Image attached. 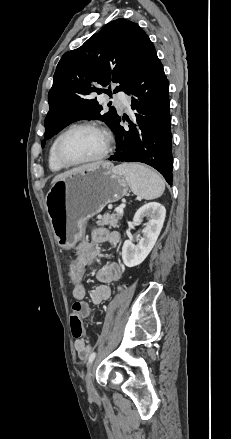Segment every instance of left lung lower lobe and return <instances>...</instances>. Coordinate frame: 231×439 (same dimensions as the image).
<instances>
[{
    "label": "left lung lower lobe",
    "mask_w": 231,
    "mask_h": 439,
    "mask_svg": "<svg viewBox=\"0 0 231 439\" xmlns=\"http://www.w3.org/2000/svg\"><path fill=\"white\" fill-rule=\"evenodd\" d=\"M124 92L132 97L131 108L136 110V120L135 123L127 120L132 127L126 131L119 118L114 130L116 151L109 160L148 164L172 185L169 83L154 46Z\"/></svg>",
    "instance_id": "obj_1"
}]
</instances>
